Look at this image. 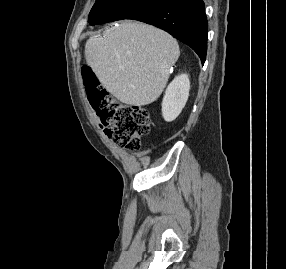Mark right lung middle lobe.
<instances>
[{
    "instance_id": "dd1d6c3e",
    "label": "right lung middle lobe",
    "mask_w": 286,
    "mask_h": 269,
    "mask_svg": "<svg viewBox=\"0 0 286 269\" xmlns=\"http://www.w3.org/2000/svg\"><path fill=\"white\" fill-rule=\"evenodd\" d=\"M155 0H96L89 14L91 25L128 19Z\"/></svg>"
}]
</instances>
